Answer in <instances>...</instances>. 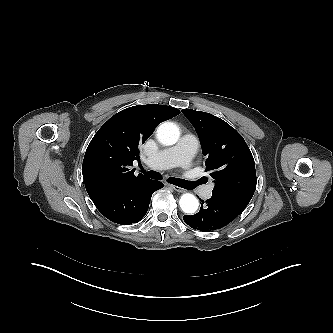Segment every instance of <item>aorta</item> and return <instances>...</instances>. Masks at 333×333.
Instances as JSON below:
<instances>
[{"label": "aorta", "instance_id": "obj_1", "mask_svg": "<svg viewBox=\"0 0 333 333\" xmlns=\"http://www.w3.org/2000/svg\"><path fill=\"white\" fill-rule=\"evenodd\" d=\"M179 136V128L173 122H163L157 129L159 142L166 146L174 145ZM179 205L184 213L193 214L198 209L199 201L193 194L185 193L181 196Z\"/></svg>", "mask_w": 333, "mask_h": 333}]
</instances>
